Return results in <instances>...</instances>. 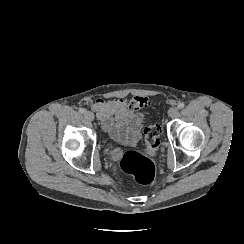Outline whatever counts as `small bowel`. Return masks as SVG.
Listing matches in <instances>:
<instances>
[{"mask_svg":"<svg viewBox=\"0 0 244 244\" xmlns=\"http://www.w3.org/2000/svg\"><path fill=\"white\" fill-rule=\"evenodd\" d=\"M102 129L121 146H134L141 138L144 116L129 109L124 98L97 99L90 104Z\"/></svg>","mask_w":244,"mask_h":244,"instance_id":"small-bowel-1","label":"small bowel"}]
</instances>
